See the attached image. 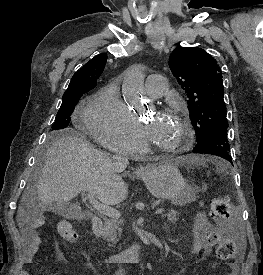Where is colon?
<instances>
[{
  "label": "colon",
  "mask_w": 263,
  "mask_h": 275,
  "mask_svg": "<svg viewBox=\"0 0 263 275\" xmlns=\"http://www.w3.org/2000/svg\"><path fill=\"white\" fill-rule=\"evenodd\" d=\"M210 215L216 221H227L231 215V206L228 198L222 196L214 198L211 203ZM57 230L65 241L73 243L77 240V232L70 223L65 221L59 222ZM212 244L216 246V255L218 259L227 263L233 260L236 246L231 239L216 233L212 237Z\"/></svg>",
  "instance_id": "5ec220e1"
}]
</instances>
